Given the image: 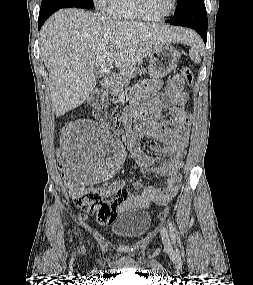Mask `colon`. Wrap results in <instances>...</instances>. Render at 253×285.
<instances>
[{"mask_svg": "<svg viewBox=\"0 0 253 285\" xmlns=\"http://www.w3.org/2000/svg\"><path fill=\"white\" fill-rule=\"evenodd\" d=\"M181 76L189 84L194 82V74L189 67L181 69ZM60 149H57V172H63L62 180H66L69 193L81 210L89 214H96L102 223H110L117 212V207L128 198V192L122 187H87L75 180L72 171H68L70 159L67 158L70 144L66 140L60 141Z\"/></svg>", "mask_w": 253, "mask_h": 285, "instance_id": "5ec220e1", "label": "colon"}]
</instances>
